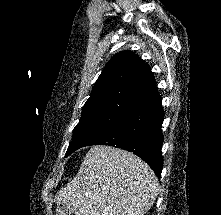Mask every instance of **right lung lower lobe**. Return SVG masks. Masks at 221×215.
Segmentation results:
<instances>
[{"mask_svg": "<svg viewBox=\"0 0 221 215\" xmlns=\"http://www.w3.org/2000/svg\"><path fill=\"white\" fill-rule=\"evenodd\" d=\"M164 112L161 97L154 99L121 117L107 130L88 142L90 145H109L133 152L141 157L160 178L163 168L161 125Z\"/></svg>", "mask_w": 221, "mask_h": 215, "instance_id": "98d812e1", "label": "right lung lower lobe"}]
</instances>
